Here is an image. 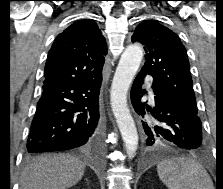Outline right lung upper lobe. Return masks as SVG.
Listing matches in <instances>:
<instances>
[{
    "label": "right lung upper lobe",
    "mask_w": 223,
    "mask_h": 189,
    "mask_svg": "<svg viewBox=\"0 0 223 189\" xmlns=\"http://www.w3.org/2000/svg\"><path fill=\"white\" fill-rule=\"evenodd\" d=\"M106 41L93 21L81 20L59 34L45 65L44 84L80 81L102 74Z\"/></svg>",
    "instance_id": "cb5924a9"
}]
</instances>
